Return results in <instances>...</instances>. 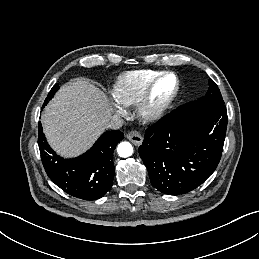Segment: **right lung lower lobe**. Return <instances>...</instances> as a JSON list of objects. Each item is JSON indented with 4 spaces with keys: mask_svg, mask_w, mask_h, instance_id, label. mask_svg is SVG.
<instances>
[{
    "mask_svg": "<svg viewBox=\"0 0 259 259\" xmlns=\"http://www.w3.org/2000/svg\"><path fill=\"white\" fill-rule=\"evenodd\" d=\"M123 137L118 130L106 132L85 154L63 159L51 149L39 123L38 145L44 169L58 187L73 197L96 200L113 184V152Z\"/></svg>",
    "mask_w": 259,
    "mask_h": 259,
    "instance_id": "1",
    "label": "right lung lower lobe"
}]
</instances>
